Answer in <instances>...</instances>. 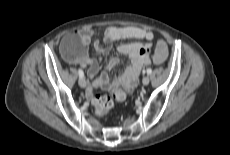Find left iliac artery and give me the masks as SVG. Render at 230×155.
<instances>
[{
    "instance_id": "left-iliac-artery-1",
    "label": "left iliac artery",
    "mask_w": 230,
    "mask_h": 155,
    "mask_svg": "<svg viewBox=\"0 0 230 155\" xmlns=\"http://www.w3.org/2000/svg\"><path fill=\"white\" fill-rule=\"evenodd\" d=\"M146 72H147V74H151V73H152V70H151L150 68H148V69L146 70Z\"/></svg>"
}]
</instances>
